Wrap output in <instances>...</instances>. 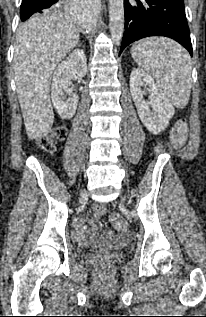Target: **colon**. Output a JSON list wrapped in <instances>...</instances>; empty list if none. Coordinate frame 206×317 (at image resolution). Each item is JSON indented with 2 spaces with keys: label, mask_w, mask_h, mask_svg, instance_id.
<instances>
[{
  "label": "colon",
  "mask_w": 206,
  "mask_h": 317,
  "mask_svg": "<svg viewBox=\"0 0 206 317\" xmlns=\"http://www.w3.org/2000/svg\"><path fill=\"white\" fill-rule=\"evenodd\" d=\"M66 135V129L62 126L55 128L48 136L41 139L39 146L46 152H53L56 144L63 140ZM187 139V124L184 120H180L174 126L171 132V142L176 148L182 147ZM94 211L98 215H104L107 212V208L102 204L94 206ZM110 222L120 229H126V223L118 214L110 216ZM98 268L103 271H107L111 268V264L108 261H101L98 264Z\"/></svg>",
  "instance_id": "obj_1"
}]
</instances>
